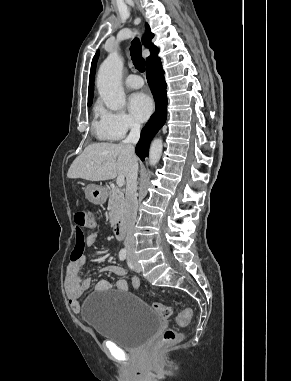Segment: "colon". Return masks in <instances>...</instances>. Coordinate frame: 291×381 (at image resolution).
Returning a JSON list of instances; mask_svg holds the SVG:
<instances>
[{
    "label": "colon",
    "mask_w": 291,
    "mask_h": 381,
    "mask_svg": "<svg viewBox=\"0 0 291 381\" xmlns=\"http://www.w3.org/2000/svg\"><path fill=\"white\" fill-rule=\"evenodd\" d=\"M74 222L77 226V237L79 239L83 238L84 231L94 230L98 224L97 217L85 209H76L74 211ZM79 253H81V251ZM152 306L154 310L164 319L169 318L172 314V309L164 304L153 302ZM191 317V309H184L176 319L177 325L180 327H186L189 324ZM179 338L180 334L177 330L167 329L163 333L161 339L154 345L153 352L158 353L162 349L176 344Z\"/></svg>",
    "instance_id": "5ec220e1"
}]
</instances>
